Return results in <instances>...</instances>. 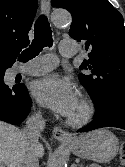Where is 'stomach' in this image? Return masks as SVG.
Wrapping results in <instances>:
<instances>
[{
	"instance_id": "obj_1",
	"label": "stomach",
	"mask_w": 125,
	"mask_h": 167,
	"mask_svg": "<svg viewBox=\"0 0 125 167\" xmlns=\"http://www.w3.org/2000/svg\"><path fill=\"white\" fill-rule=\"evenodd\" d=\"M68 146L77 156L107 163L116 156L119 140L112 132L98 129L76 137Z\"/></svg>"
}]
</instances>
